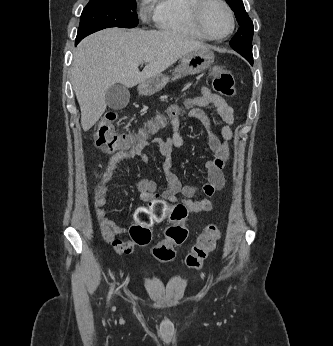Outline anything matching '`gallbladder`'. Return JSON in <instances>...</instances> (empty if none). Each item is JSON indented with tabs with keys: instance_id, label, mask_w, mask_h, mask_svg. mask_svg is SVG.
Instances as JSON below:
<instances>
[{
	"instance_id": "obj_1",
	"label": "gallbladder",
	"mask_w": 333,
	"mask_h": 346,
	"mask_svg": "<svg viewBox=\"0 0 333 346\" xmlns=\"http://www.w3.org/2000/svg\"><path fill=\"white\" fill-rule=\"evenodd\" d=\"M130 99V92L127 87L122 84L111 86L105 95L107 106L113 110H121L127 106Z\"/></svg>"
}]
</instances>
